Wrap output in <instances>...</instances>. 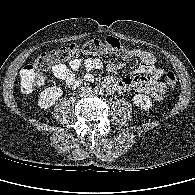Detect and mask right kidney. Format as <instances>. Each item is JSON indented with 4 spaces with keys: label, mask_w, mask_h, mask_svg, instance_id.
Wrapping results in <instances>:
<instances>
[{
    "label": "right kidney",
    "mask_w": 195,
    "mask_h": 195,
    "mask_svg": "<svg viewBox=\"0 0 195 195\" xmlns=\"http://www.w3.org/2000/svg\"><path fill=\"white\" fill-rule=\"evenodd\" d=\"M63 94V91L60 87L52 86L43 90L38 99V106L41 109H48L55 104V101L58 100Z\"/></svg>",
    "instance_id": "obj_1"
}]
</instances>
